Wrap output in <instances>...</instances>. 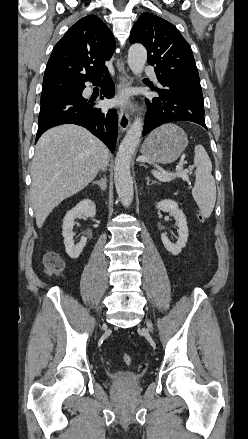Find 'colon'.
<instances>
[{"label": "colon", "mask_w": 248, "mask_h": 439, "mask_svg": "<svg viewBox=\"0 0 248 439\" xmlns=\"http://www.w3.org/2000/svg\"><path fill=\"white\" fill-rule=\"evenodd\" d=\"M197 217L199 221H204V217L199 211H197ZM44 267L48 274L59 275L63 272L64 262L58 254L48 252L44 256ZM122 361L125 365H130L132 363V356L129 354H124L122 356Z\"/></svg>", "instance_id": "1"}]
</instances>
